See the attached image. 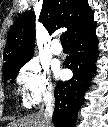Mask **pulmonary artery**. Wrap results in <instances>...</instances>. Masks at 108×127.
<instances>
[{"label":"pulmonary artery","mask_w":108,"mask_h":127,"mask_svg":"<svg viewBox=\"0 0 108 127\" xmlns=\"http://www.w3.org/2000/svg\"><path fill=\"white\" fill-rule=\"evenodd\" d=\"M51 51L54 55H60L62 53V46L58 40H54L51 45Z\"/></svg>","instance_id":"obj_1"}]
</instances>
